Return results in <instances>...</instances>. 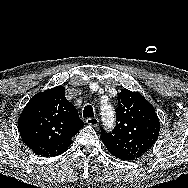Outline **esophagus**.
Returning <instances> with one entry per match:
<instances>
[{
    "instance_id": "esophagus-1",
    "label": "esophagus",
    "mask_w": 188,
    "mask_h": 188,
    "mask_svg": "<svg viewBox=\"0 0 188 188\" xmlns=\"http://www.w3.org/2000/svg\"><path fill=\"white\" fill-rule=\"evenodd\" d=\"M85 122L88 124V125H91V126H97L98 123H99V119L97 117H91V118H87L85 120Z\"/></svg>"
}]
</instances>
